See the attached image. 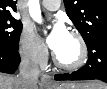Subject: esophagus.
I'll list each match as a JSON object with an SVG mask.
<instances>
[{
	"mask_svg": "<svg viewBox=\"0 0 107 89\" xmlns=\"http://www.w3.org/2000/svg\"><path fill=\"white\" fill-rule=\"evenodd\" d=\"M41 83L42 85H53L54 82L52 80V77L48 74H43L41 77Z\"/></svg>",
	"mask_w": 107,
	"mask_h": 89,
	"instance_id": "obj_1",
	"label": "esophagus"
}]
</instances>
